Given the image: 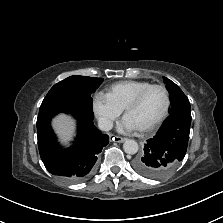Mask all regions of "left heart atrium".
<instances>
[{
    "label": "left heart atrium",
    "instance_id": "1",
    "mask_svg": "<svg viewBox=\"0 0 223 223\" xmlns=\"http://www.w3.org/2000/svg\"><path fill=\"white\" fill-rule=\"evenodd\" d=\"M135 126L131 121L125 116L119 124V130L123 132H131L135 130Z\"/></svg>",
    "mask_w": 223,
    "mask_h": 223
}]
</instances>
